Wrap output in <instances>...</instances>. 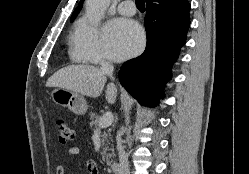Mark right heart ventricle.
Wrapping results in <instances>:
<instances>
[{"label":"right heart ventricle","mask_w":249,"mask_h":174,"mask_svg":"<svg viewBox=\"0 0 249 174\" xmlns=\"http://www.w3.org/2000/svg\"><path fill=\"white\" fill-rule=\"evenodd\" d=\"M79 27H80V24H76V25L74 26V28H73L72 33H71V40H72L73 43H74L75 36H76V34H77V32H78ZM72 56H73V58H74L76 61L82 62L80 59H78V58L76 57V55H75V53H74V48H73V50H72Z\"/></svg>","instance_id":"e07e8e85"}]
</instances>
